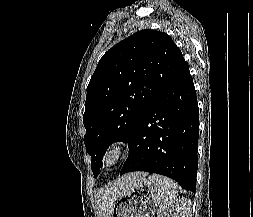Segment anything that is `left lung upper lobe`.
Returning <instances> with one entry per match:
<instances>
[{
    "label": "left lung upper lobe",
    "mask_w": 253,
    "mask_h": 217,
    "mask_svg": "<svg viewBox=\"0 0 253 217\" xmlns=\"http://www.w3.org/2000/svg\"><path fill=\"white\" fill-rule=\"evenodd\" d=\"M185 63L166 33L142 30L100 59L87 87L84 143L95 177L115 141L128 142L138 118Z\"/></svg>",
    "instance_id": "1"
}]
</instances>
